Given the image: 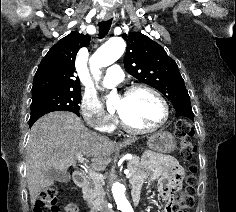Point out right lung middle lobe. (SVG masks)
<instances>
[{
	"mask_svg": "<svg viewBox=\"0 0 236 212\" xmlns=\"http://www.w3.org/2000/svg\"><path fill=\"white\" fill-rule=\"evenodd\" d=\"M81 90L46 91L32 95L29 122L53 111H70L79 115Z\"/></svg>",
	"mask_w": 236,
	"mask_h": 212,
	"instance_id": "dd1d6c3e",
	"label": "right lung middle lobe"
}]
</instances>
